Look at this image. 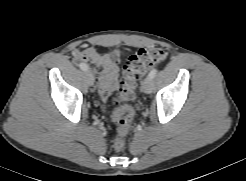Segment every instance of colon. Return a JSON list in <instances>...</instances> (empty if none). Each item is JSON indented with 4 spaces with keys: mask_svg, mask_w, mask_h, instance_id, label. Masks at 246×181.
<instances>
[{
    "mask_svg": "<svg viewBox=\"0 0 246 181\" xmlns=\"http://www.w3.org/2000/svg\"><path fill=\"white\" fill-rule=\"evenodd\" d=\"M164 58L165 52L159 47L141 48L129 58L125 65L122 86L114 98L116 108L113 112V119L117 123V134L113 140V146L116 150L120 151L124 148V138L134 117L133 108L123 103L135 99L136 87L140 78L149 67L161 63Z\"/></svg>",
    "mask_w": 246,
    "mask_h": 181,
    "instance_id": "5ec220e1",
    "label": "colon"
}]
</instances>
